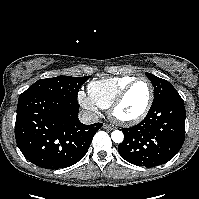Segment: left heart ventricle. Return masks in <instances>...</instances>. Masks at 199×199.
Returning a JSON list of instances; mask_svg holds the SVG:
<instances>
[{
	"label": "left heart ventricle",
	"instance_id": "left-heart-ventricle-1",
	"mask_svg": "<svg viewBox=\"0 0 199 199\" xmlns=\"http://www.w3.org/2000/svg\"><path fill=\"white\" fill-rule=\"evenodd\" d=\"M150 94L149 84L146 81L137 82L128 92L116 114L120 118H133L144 109Z\"/></svg>",
	"mask_w": 199,
	"mask_h": 199
}]
</instances>
